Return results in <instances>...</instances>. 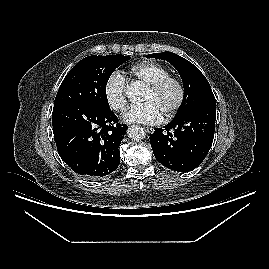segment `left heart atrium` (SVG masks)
Segmentation results:
<instances>
[{
	"label": "left heart atrium",
	"instance_id": "obj_1",
	"mask_svg": "<svg viewBox=\"0 0 269 269\" xmlns=\"http://www.w3.org/2000/svg\"><path fill=\"white\" fill-rule=\"evenodd\" d=\"M161 118L160 111L152 102L131 106L123 115L127 123L155 124Z\"/></svg>",
	"mask_w": 269,
	"mask_h": 269
}]
</instances>
